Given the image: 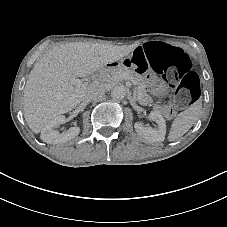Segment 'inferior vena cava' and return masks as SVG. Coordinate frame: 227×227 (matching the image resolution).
Here are the masks:
<instances>
[{
  "instance_id": "inferior-vena-cava-1",
  "label": "inferior vena cava",
  "mask_w": 227,
  "mask_h": 227,
  "mask_svg": "<svg viewBox=\"0 0 227 227\" xmlns=\"http://www.w3.org/2000/svg\"><path fill=\"white\" fill-rule=\"evenodd\" d=\"M87 94L93 96V98L97 101L102 100L105 89L100 87L99 82H94L88 86Z\"/></svg>"
}]
</instances>
